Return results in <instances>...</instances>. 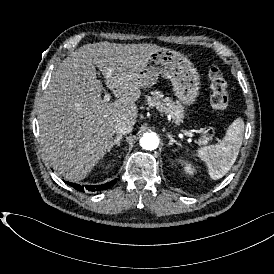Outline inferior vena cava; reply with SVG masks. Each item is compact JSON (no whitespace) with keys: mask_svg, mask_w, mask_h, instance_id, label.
<instances>
[{"mask_svg":"<svg viewBox=\"0 0 274 274\" xmlns=\"http://www.w3.org/2000/svg\"><path fill=\"white\" fill-rule=\"evenodd\" d=\"M114 130L118 135L128 134L133 130V124L130 121H121L115 125Z\"/></svg>","mask_w":274,"mask_h":274,"instance_id":"obj_1","label":"inferior vena cava"}]
</instances>
